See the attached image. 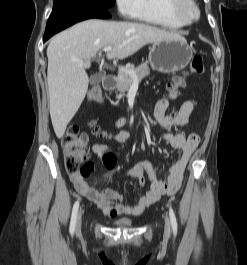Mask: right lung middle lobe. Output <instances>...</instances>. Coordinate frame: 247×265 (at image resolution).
<instances>
[{"mask_svg":"<svg viewBox=\"0 0 247 265\" xmlns=\"http://www.w3.org/2000/svg\"><path fill=\"white\" fill-rule=\"evenodd\" d=\"M114 0H53V11L72 7H99L110 8Z\"/></svg>","mask_w":247,"mask_h":265,"instance_id":"obj_1","label":"right lung middle lobe"}]
</instances>
